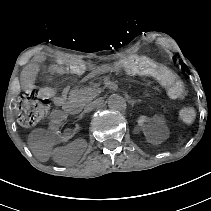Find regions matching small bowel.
Returning a JSON list of instances; mask_svg holds the SVG:
<instances>
[{"label":"small bowel","instance_id":"1","mask_svg":"<svg viewBox=\"0 0 211 211\" xmlns=\"http://www.w3.org/2000/svg\"><path fill=\"white\" fill-rule=\"evenodd\" d=\"M44 61H45V56L40 54L34 59L33 63H31L24 69V72L22 75V82L27 88H30L33 86L34 77L39 67L43 64ZM116 71L118 70L114 69L112 66H107V65L98 66V67L93 66L89 68V73L86 76V78H90V77H93L102 73H106V72H116ZM45 91L51 96V101L53 102L54 105L63 106L67 97V92H68L67 88H64L58 94L51 88H46ZM162 122L163 120L161 117L155 118V123L162 124Z\"/></svg>","mask_w":211,"mask_h":211}]
</instances>
